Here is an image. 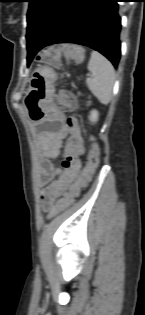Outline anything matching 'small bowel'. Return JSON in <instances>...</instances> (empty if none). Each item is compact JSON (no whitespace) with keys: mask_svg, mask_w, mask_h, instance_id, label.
<instances>
[{"mask_svg":"<svg viewBox=\"0 0 145 315\" xmlns=\"http://www.w3.org/2000/svg\"><path fill=\"white\" fill-rule=\"evenodd\" d=\"M66 137L68 138L62 160L64 169L59 170L52 160L59 157L62 141ZM85 150L75 118H68L60 130L48 132L42 136L38 180L42 186V203L50 210V215L58 198L64 196L72 187L80 185L84 169L82 170L79 161L73 163V156H82ZM89 179L90 176H88V181Z\"/></svg>","mask_w":145,"mask_h":315,"instance_id":"obj_1","label":"small bowel"}]
</instances>
